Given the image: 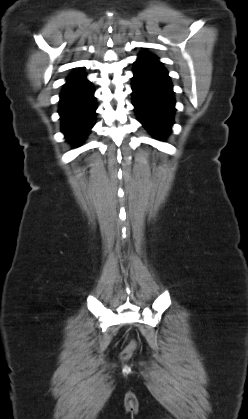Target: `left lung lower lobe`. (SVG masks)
I'll return each mask as SVG.
<instances>
[{
    "mask_svg": "<svg viewBox=\"0 0 248 419\" xmlns=\"http://www.w3.org/2000/svg\"><path fill=\"white\" fill-rule=\"evenodd\" d=\"M132 103L138 120L158 138L173 124L174 92L168 72L152 54L143 52L134 63Z\"/></svg>",
    "mask_w": 248,
    "mask_h": 419,
    "instance_id": "0a47b994",
    "label": "left lung lower lobe"
}]
</instances>
